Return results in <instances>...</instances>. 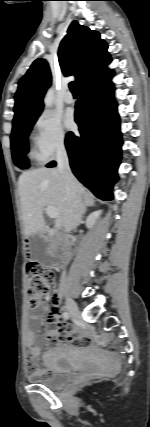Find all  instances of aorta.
<instances>
[{"instance_id":"aorta-1","label":"aorta","mask_w":150,"mask_h":427,"mask_svg":"<svg viewBox=\"0 0 150 427\" xmlns=\"http://www.w3.org/2000/svg\"><path fill=\"white\" fill-rule=\"evenodd\" d=\"M53 97H54L53 90L52 89L48 90V92H47V94H46V96L44 98V104H45L46 107H51L52 106Z\"/></svg>"}]
</instances>
